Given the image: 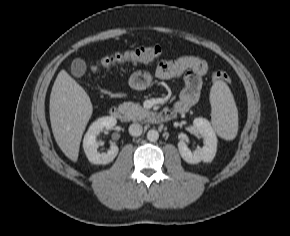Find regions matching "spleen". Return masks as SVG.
Wrapping results in <instances>:
<instances>
[{
	"instance_id": "1",
	"label": "spleen",
	"mask_w": 290,
	"mask_h": 236,
	"mask_svg": "<svg viewBox=\"0 0 290 236\" xmlns=\"http://www.w3.org/2000/svg\"><path fill=\"white\" fill-rule=\"evenodd\" d=\"M211 120L217 134L232 140L238 131V111L233 95L223 81H216L210 92Z\"/></svg>"
}]
</instances>
